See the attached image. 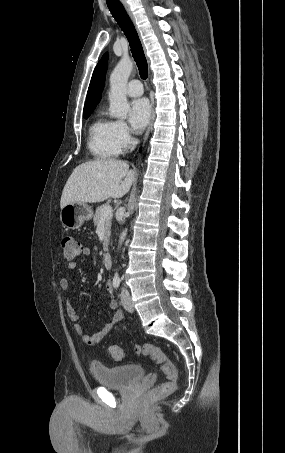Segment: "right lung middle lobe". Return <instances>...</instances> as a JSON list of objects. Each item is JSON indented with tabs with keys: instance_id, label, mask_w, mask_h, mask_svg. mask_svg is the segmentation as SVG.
I'll return each instance as SVG.
<instances>
[{
	"instance_id": "right-lung-middle-lobe-1",
	"label": "right lung middle lobe",
	"mask_w": 285,
	"mask_h": 453,
	"mask_svg": "<svg viewBox=\"0 0 285 453\" xmlns=\"http://www.w3.org/2000/svg\"><path fill=\"white\" fill-rule=\"evenodd\" d=\"M92 112H93V110L84 112L83 117H84L85 119H87V118L91 115Z\"/></svg>"
}]
</instances>
